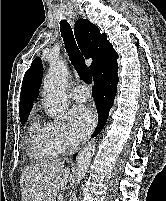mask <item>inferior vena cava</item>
<instances>
[{
	"mask_svg": "<svg viewBox=\"0 0 166 201\" xmlns=\"http://www.w3.org/2000/svg\"><path fill=\"white\" fill-rule=\"evenodd\" d=\"M77 147H78V144L73 143V144L71 145L70 150H69L70 154L74 153V152L77 150Z\"/></svg>",
	"mask_w": 166,
	"mask_h": 201,
	"instance_id": "602c4592",
	"label": "inferior vena cava"
}]
</instances>
